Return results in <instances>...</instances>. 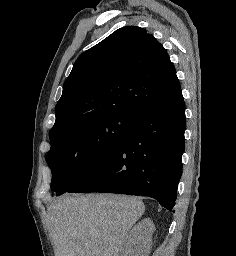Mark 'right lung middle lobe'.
<instances>
[{"label":"right lung middle lobe","mask_w":236,"mask_h":256,"mask_svg":"<svg viewBox=\"0 0 236 256\" xmlns=\"http://www.w3.org/2000/svg\"><path fill=\"white\" fill-rule=\"evenodd\" d=\"M137 119L110 115L70 125L50 135L47 163L52 170L51 189L61 195L94 165L112 152Z\"/></svg>","instance_id":"1"}]
</instances>
